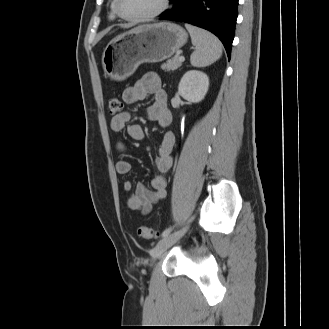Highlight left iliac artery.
<instances>
[{
	"label": "left iliac artery",
	"instance_id": "left-iliac-artery-1",
	"mask_svg": "<svg viewBox=\"0 0 329 329\" xmlns=\"http://www.w3.org/2000/svg\"><path fill=\"white\" fill-rule=\"evenodd\" d=\"M172 228H173V227H169V228L165 229V230L162 232L161 237L164 238V237H166L168 234H170V232L172 231Z\"/></svg>",
	"mask_w": 329,
	"mask_h": 329
}]
</instances>
